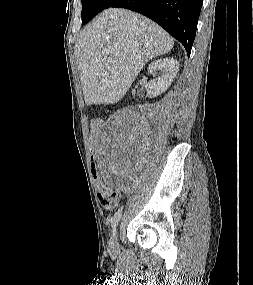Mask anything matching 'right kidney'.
Wrapping results in <instances>:
<instances>
[{"label":"right kidney","mask_w":253,"mask_h":285,"mask_svg":"<svg viewBox=\"0 0 253 285\" xmlns=\"http://www.w3.org/2000/svg\"><path fill=\"white\" fill-rule=\"evenodd\" d=\"M156 70L162 71V77L157 82L150 81L147 90V97L154 98L165 92L173 82L179 70V63L173 58H160L153 61L147 67L148 74L154 73Z\"/></svg>","instance_id":"ca27d5eb"}]
</instances>
